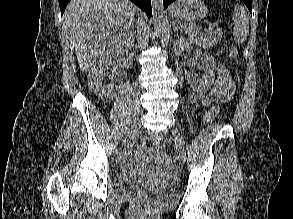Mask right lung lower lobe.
<instances>
[{
	"mask_svg": "<svg viewBox=\"0 0 293 219\" xmlns=\"http://www.w3.org/2000/svg\"><path fill=\"white\" fill-rule=\"evenodd\" d=\"M69 1L70 0H59L61 14L64 13L66 5L68 4ZM130 1H132L135 5H137L143 11H145V13L148 15L149 18L151 17L152 15L151 0H130Z\"/></svg>",
	"mask_w": 293,
	"mask_h": 219,
	"instance_id": "obj_1",
	"label": "right lung lower lobe"
}]
</instances>
